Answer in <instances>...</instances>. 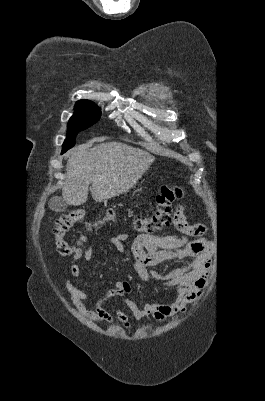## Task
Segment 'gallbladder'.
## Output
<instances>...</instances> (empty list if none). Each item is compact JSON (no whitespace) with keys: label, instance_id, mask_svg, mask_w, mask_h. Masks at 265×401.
Masks as SVG:
<instances>
[{"label":"gallbladder","instance_id":"gallbladder-1","mask_svg":"<svg viewBox=\"0 0 265 401\" xmlns=\"http://www.w3.org/2000/svg\"><path fill=\"white\" fill-rule=\"evenodd\" d=\"M48 207L51 211H56V213H63L67 209L66 203L62 201L60 196H51L48 201Z\"/></svg>","mask_w":265,"mask_h":401}]
</instances>
